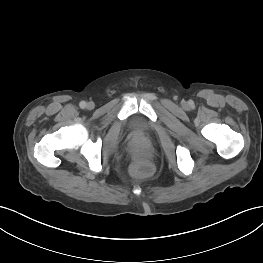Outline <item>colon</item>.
I'll return each instance as SVG.
<instances>
[{
  "label": "colon",
  "mask_w": 263,
  "mask_h": 263,
  "mask_svg": "<svg viewBox=\"0 0 263 263\" xmlns=\"http://www.w3.org/2000/svg\"><path fill=\"white\" fill-rule=\"evenodd\" d=\"M131 171L137 176H148L152 172V164L147 160H138L132 165Z\"/></svg>",
  "instance_id": "obj_1"
}]
</instances>
